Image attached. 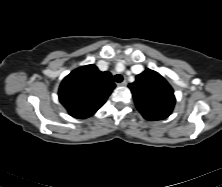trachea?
<instances>
[{
	"label": "trachea",
	"instance_id": "3493384b",
	"mask_svg": "<svg viewBox=\"0 0 222 187\" xmlns=\"http://www.w3.org/2000/svg\"><path fill=\"white\" fill-rule=\"evenodd\" d=\"M114 81L118 82V83L122 82L123 81V76L120 75V74L115 75L114 76Z\"/></svg>",
	"mask_w": 222,
	"mask_h": 187
}]
</instances>
